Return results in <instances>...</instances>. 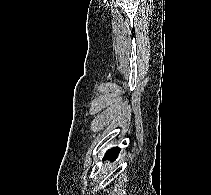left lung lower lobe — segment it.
I'll list each match as a JSON object with an SVG mask.
<instances>
[{
    "mask_svg": "<svg viewBox=\"0 0 211 195\" xmlns=\"http://www.w3.org/2000/svg\"><path fill=\"white\" fill-rule=\"evenodd\" d=\"M119 151H120V149L118 147H114V148L107 151L104 158L105 159L109 158L111 160H114V159L117 158Z\"/></svg>",
    "mask_w": 211,
    "mask_h": 195,
    "instance_id": "obj_1",
    "label": "left lung lower lobe"
}]
</instances>
